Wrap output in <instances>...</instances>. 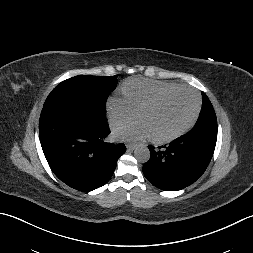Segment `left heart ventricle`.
I'll return each instance as SVG.
<instances>
[{
    "label": "left heart ventricle",
    "instance_id": "1",
    "mask_svg": "<svg viewBox=\"0 0 253 253\" xmlns=\"http://www.w3.org/2000/svg\"><path fill=\"white\" fill-rule=\"evenodd\" d=\"M195 108L194 95L179 91L141 112L138 118L148 125L152 137H165L183 127L191 119Z\"/></svg>",
    "mask_w": 253,
    "mask_h": 253
}]
</instances>
